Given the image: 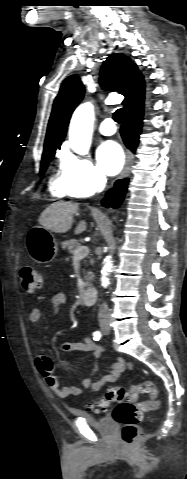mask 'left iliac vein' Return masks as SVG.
<instances>
[{"label": "left iliac vein", "instance_id": "obj_1", "mask_svg": "<svg viewBox=\"0 0 187 479\" xmlns=\"http://www.w3.org/2000/svg\"><path fill=\"white\" fill-rule=\"evenodd\" d=\"M109 333H110V327L107 326V328L104 329V334H105V335H108Z\"/></svg>", "mask_w": 187, "mask_h": 479}]
</instances>
